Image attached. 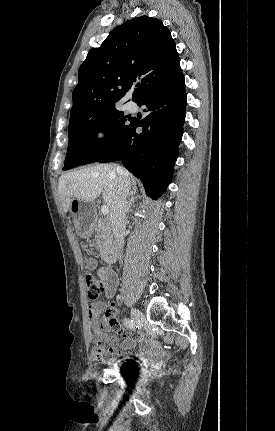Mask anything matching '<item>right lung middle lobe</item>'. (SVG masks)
Segmentation results:
<instances>
[{"label":"right lung middle lobe","instance_id":"1","mask_svg":"<svg viewBox=\"0 0 275 431\" xmlns=\"http://www.w3.org/2000/svg\"><path fill=\"white\" fill-rule=\"evenodd\" d=\"M131 120L130 115H125L114 106L69 122V142L63 170L97 162L118 142ZM102 129L106 137L97 140V134Z\"/></svg>","mask_w":275,"mask_h":431}]
</instances>
